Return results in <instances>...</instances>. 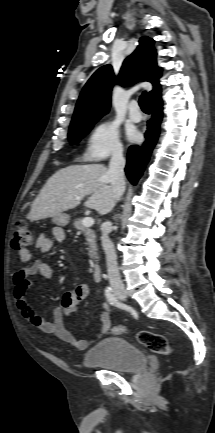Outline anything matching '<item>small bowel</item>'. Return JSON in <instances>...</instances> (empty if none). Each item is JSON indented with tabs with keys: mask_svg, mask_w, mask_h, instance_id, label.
I'll return each mask as SVG.
<instances>
[{
	"mask_svg": "<svg viewBox=\"0 0 215 433\" xmlns=\"http://www.w3.org/2000/svg\"><path fill=\"white\" fill-rule=\"evenodd\" d=\"M64 240L62 229H54L51 235L40 234L35 243V249L41 253L49 252L54 243H60ZM19 259L22 263H30L28 266L18 269L13 277L14 298L17 307L24 317L33 327L40 331L55 335L59 340L66 342L78 350H86L92 340L77 339L64 325V319L78 310L79 304L88 295V286L86 283H78L72 289L66 291L62 297L61 305L54 309L53 321H47L41 317L30 305L27 298V289L31 286L32 277L39 275L44 280L50 281L53 278L51 266L43 260L33 259V252L29 249H22L19 252ZM99 319L101 323L100 332L97 338L107 334L110 326V306L103 302L100 305Z\"/></svg>",
	"mask_w": 215,
	"mask_h": 433,
	"instance_id": "obj_1",
	"label": "small bowel"
}]
</instances>
